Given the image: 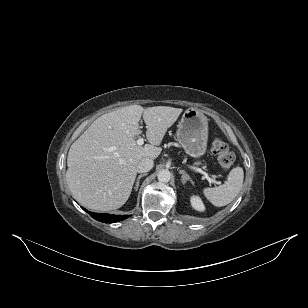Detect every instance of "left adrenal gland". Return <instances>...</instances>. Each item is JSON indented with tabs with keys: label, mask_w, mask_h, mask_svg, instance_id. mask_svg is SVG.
Returning <instances> with one entry per match:
<instances>
[{
	"label": "left adrenal gland",
	"mask_w": 308,
	"mask_h": 308,
	"mask_svg": "<svg viewBox=\"0 0 308 308\" xmlns=\"http://www.w3.org/2000/svg\"><path fill=\"white\" fill-rule=\"evenodd\" d=\"M179 173L182 174V183L186 184L187 181H190L193 184L192 179L189 177V175L186 173L185 170H179Z\"/></svg>",
	"instance_id": "a2214340"
}]
</instances>
